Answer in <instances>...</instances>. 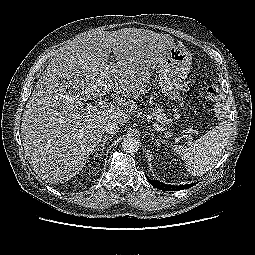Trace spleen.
<instances>
[{
  "label": "spleen",
  "instance_id": "3e777b00",
  "mask_svg": "<svg viewBox=\"0 0 255 255\" xmlns=\"http://www.w3.org/2000/svg\"><path fill=\"white\" fill-rule=\"evenodd\" d=\"M231 129L230 123L225 120L189 147L175 146L191 175H203L217 164L228 144Z\"/></svg>",
  "mask_w": 255,
  "mask_h": 255
}]
</instances>
